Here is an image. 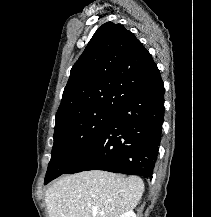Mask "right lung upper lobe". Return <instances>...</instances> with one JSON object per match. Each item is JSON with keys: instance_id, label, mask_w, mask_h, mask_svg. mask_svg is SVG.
<instances>
[{"instance_id": "cb5924a9", "label": "right lung upper lobe", "mask_w": 211, "mask_h": 217, "mask_svg": "<svg viewBox=\"0 0 211 217\" xmlns=\"http://www.w3.org/2000/svg\"><path fill=\"white\" fill-rule=\"evenodd\" d=\"M160 79L151 54L133 33L107 22L72 67L55 126L91 112L117 111L135 93Z\"/></svg>"}]
</instances>
